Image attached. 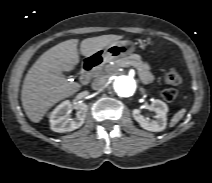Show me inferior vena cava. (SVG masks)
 Returning a JSON list of instances; mask_svg holds the SVG:
<instances>
[{
	"instance_id": "602c4592",
	"label": "inferior vena cava",
	"mask_w": 212,
	"mask_h": 183,
	"mask_svg": "<svg viewBox=\"0 0 212 183\" xmlns=\"http://www.w3.org/2000/svg\"><path fill=\"white\" fill-rule=\"evenodd\" d=\"M104 84H105L104 79L99 78V79H95L92 82L91 86H92V89L99 90V89H101L104 86Z\"/></svg>"
}]
</instances>
